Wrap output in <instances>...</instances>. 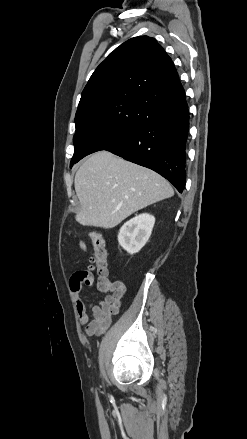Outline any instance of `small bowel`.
<instances>
[{"label":"small bowel","mask_w":247,"mask_h":439,"mask_svg":"<svg viewBox=\"0 0 247 439\" xmlns=\"http://www.w3.org/2000/svg\"><path fill=\"white\" fill-rule=\"evenodd\" d=\"M93 282V274L86 270L75 272L69 282L79 322L85 325L86 333L90 336L99 335L110 326L112 318L120 312L121 299L125 293V286L121 281L106 279L102 291L108 294L98 303L87 302L80 297V292L84 286ZM88 312L92 314L91 319Z\"/></svg>","instance_id":"c3829d8e"}]
</instances>
